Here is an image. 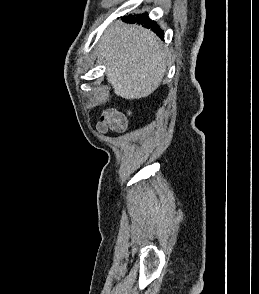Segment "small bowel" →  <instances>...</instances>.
I'll return each mask as SVG.
<instances>
[{
  "instance_id": "small-bowel-1",
  "label": "small bowel",
  "mask_w": 259,
  "mask_h": 294,
  "mask_svg": "<svg viewBox=\"0 0 259 294\" xmlns=\"http://www.w3.org/2000/svg\"><path fill=\"white\" fill-rule=\"evenodd\" d=\"M125 116L115 109H109L102 113L97 130L101 133L108 131L122 132L126 128Z\"/></svg>"
}]
</instances>
